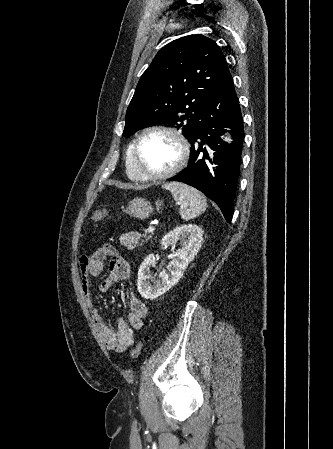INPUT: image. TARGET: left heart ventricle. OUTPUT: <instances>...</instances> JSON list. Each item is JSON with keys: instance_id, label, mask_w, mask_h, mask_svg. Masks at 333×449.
I'll return each mask as SVG.
<instances>
[{"instance_id": "b2bd125f", "label": "left heart ventricle", "mask_w": 333, "mask_h": 449, "mask_svg": "<svg viewBox=\"0 0 333 449\" xmlns=\"http://www.w3.org/2000/svg\"><path fill=\"white\" fill-rule=\"evenodd\" d=\"M179 148L175 140L163 133L146 135L140 144V165L147 174L161 173L177 161Z\"/></svg>"}]
</instances>
